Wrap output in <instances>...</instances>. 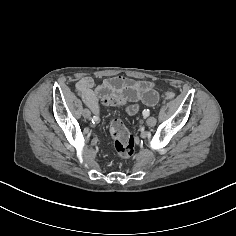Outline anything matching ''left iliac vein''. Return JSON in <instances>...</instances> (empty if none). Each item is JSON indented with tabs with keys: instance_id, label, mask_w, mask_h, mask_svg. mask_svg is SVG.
Masks as SVG:
<instances>
[{
	"instance_id": "4c4485c4",
	"label": "left iliac vein",
	"mask_w": 236,
	"mask_h": 236,
	"mask_svg": "<svg viewBox=\"0 0 236 236\" xmlns=\"http://www.w3.org/2000/svg\"><path fill=\"white\" fill-rule=\"evenodd\" d=\"M146 122L148 126L152 127L155 126L157 120L155 117H149Z\"/></svg>"
}]
</instances>
